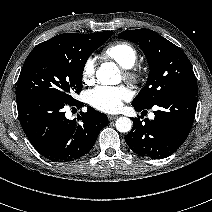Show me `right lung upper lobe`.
I'll list each match as a JSON object with an SVG mask.
<instances>
[{"label":"right lung upper lobe","instance_id":"cb5924a9","mask_svg":"<svg viewBox=\"0 0 212 212\" xmlns=\"http://www.w3.org/2000/svg\"><path fill=\"white\" fill-rule=\"evenodd\" d=\"M73 33H65L57 35L45 42L38 44L35 48H47V49H57L62 47L66 43V39Z\"/></svg>","mask_w":212,"mask_h":212}]
</instances>
